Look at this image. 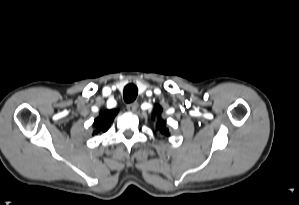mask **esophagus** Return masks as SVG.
Masks as SVG:
<instances>
[{
  "mask_svg": "<svg viewBox=\"0 0 299 205\" xmlns=\"http://www.w3.org/2000/svg\"><path fill=\"white\" fill-rule=\"evenodd\" d=\"M138 108V103L137 102H133L127 105V110L129 112H135Z\"/></svg>",
  "mask_w": 299,
  "mask_h": 205,
  "instance_id": "esophagus-1",
  "label": "esophagus"
}]
</instances>
